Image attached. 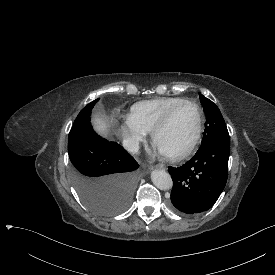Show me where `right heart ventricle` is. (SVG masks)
Wrapping results in <instances>:
<instances>
[{
  "label": "right heart ventricle",
  "instance_id": "right-heart-ventricle-1",
  "mask_svg": "<svg viewBox=\"0 0 275 275\" xmlns=\"http://www.w3.org/2000/svg\"><path fill=\"white\" fill-rule=\"evenodd\" d=\"M186 101L184 98L164 97L134 104L128 119L140 127L145 133H150L165 114L176 104Z\"/></svg>",
  "mask_w": 275,
  "mask_h": 275
}]
</instances>
